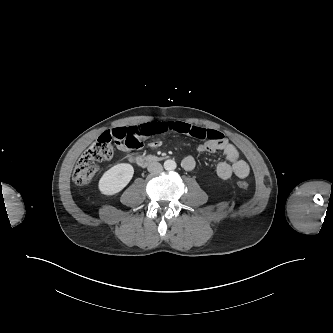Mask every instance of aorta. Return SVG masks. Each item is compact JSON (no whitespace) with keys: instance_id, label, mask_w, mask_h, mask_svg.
I'll return each instance as SVG.
<instances>
[{"instance_id":"1","label":"aorta","mask_w":333,"mask_h":333,"mask_svg":"<svg viewBox=\"0 0 333 333\" xmlns=\"http://www.w3.org/2000/svg\"><path fill=\"white\" fill-rule=\"evenodd\" d=\"M177 167L176 162L173 159H168L164 162V168L167 171H173Z\"/></svg>"}]
</instances>
